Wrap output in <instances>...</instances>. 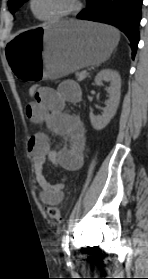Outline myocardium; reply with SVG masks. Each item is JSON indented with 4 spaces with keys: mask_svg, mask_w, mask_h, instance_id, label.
Segmentation results:
<instances>
[{
    "mask_svg": "<svg viewBox=\"0 0 148 279\" xmlns=\"http://www.w3.org/2000/svg\"><path fill=\"white\" fill-rule=\"evenodd\" d=\"M81 9V2L80 0H71V5L67 9L63 10L62 12H59L54 15H49V16H39L35 10H34V0L29 1V10L31 14L39 21L43 22H56V21H62L64 19H67L69 17L74 16L79 12Z\"/></svg>",
    "mask_w": 148,
    "mask_h": 279,
    "instance_id": "myocardium-1",
    "label": "myocardium"
}]
</instances>
